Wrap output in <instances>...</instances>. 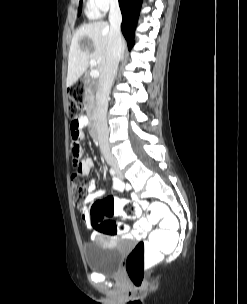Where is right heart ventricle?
Returning <instances> with one entry per match:
<instances>
[{"mask_svg":"<svg viewBox=\"0 0 247 304\" xmlns=\"http://www.w3.org/2000/svg\"><path fill=\"white\" fill-rule=\"evenodd\" d=\"M86 14L91 19H95L99 16V12L93 6L91 0H88V2H87Z\"/></svg>","mask_w":247,"mask_h":304,"instance_id":"1","label":"right heart ventricle"}]
</instances>
